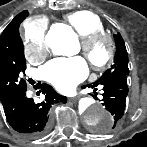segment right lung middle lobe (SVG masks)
<instances>
[{
    "instance_id": "obj_1",
    "label": "right lung middle lobe",
    "mask_w": 147,
    "mask_h": 147,
    "mask_svg": "<svg viewBox=\"0 0 147 147\" xmlns=\"http://www.w3.org/2000/svg\"><path fill=\"white\" fill-rule=\"evenodd\" d=\"M28 15V11H23L16 16V22L7 32L0 51V99L27 88L26 81L21 78L26 60L19 26Z\"/></svg>"
}]
</instances>
